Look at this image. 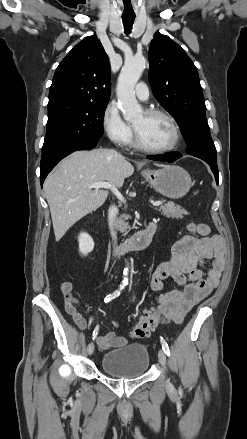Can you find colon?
Instances as JSON below:
<instances>
[{"label": "colon", "instance_id": "1", "mask_svg": "<svg viewBox=\"0 0 247 439\" xmlns=\"http://www.w3.org/2000/svg\"><path fill=\"white\" fill-rule=\"evenodd\" d=\"M188 230L192 233L200 231V224L189 223ZM162 321V313L156 308H152L144 313L132 330V335L136 338H143L151 330L155 329Z\"/></svg>", "mask_w": 247, "mask_h": 439}]
</instances>
